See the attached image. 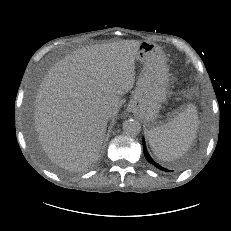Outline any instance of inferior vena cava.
Here are the masks:
<instances>
[{
  "mask_svg": "<svg viewBox=\"0 0 231 231\" xmlns=\"http://www.w3.org/2000/svg\"><path fill=\"white\" fill-rule=\"evenodd\" d=\"M102 117H104V118H108L109 117V115H110V112H109V110L108 109H105V110H103L102 111Z\"/></svg>",
  "mask_w": 231,
  "mask_h": 231,
  "instance_id": "obj_1",
  "label": "inferior vena cava"
}]
</instances>
